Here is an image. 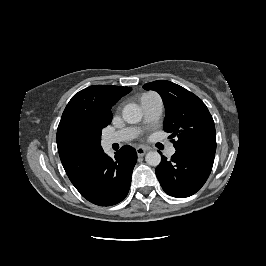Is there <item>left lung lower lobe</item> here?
Instances as JSON below:
<instances>
[{"label": "left lung lower lobe", "mask_w": 266, "mask_h": 266, "mask_svg": "<svg viewBox=\"0 0 266 266\" xmlns=\"http://www.w3.org/2000/svg\"><path fill=\"white\" fill-rule=\"evenodd\" d=\"M155 172L163 190L170 196L183 198L195 194L209 177L215 152L176 150L171 160L161 156Z\"/></svg>", "instance_id": "0a47b994"}]
</instances>
